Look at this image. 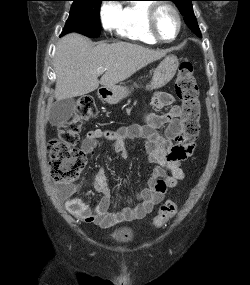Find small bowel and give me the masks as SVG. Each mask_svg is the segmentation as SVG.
<instances>
[{"instance_id":"obj_1","label":"small bowel","mask_w":250,"mask_h":285,"mask_svg":"<svg viewBox=\"0 0 250 285\" xmlns=\"http://www.w3.org/2000/svg\"><path fill=\"white\" fill-rule=\"evenodd\" d=\"M171 103L172 97L168 93L158 92L152 98V104L156 108H164ZM164 126L165 133L161 134L159 129ZM101 138L112 141L115 151L123 158L128 155L127 141L144 140L147 160L154 165V168L147 181V187L139 193L140 203L136 206L124 207L117 212L109 210L111 190L103 168L98 169L94 177L93 188L101 195L94 206L75 196L79 191L78 185L58 183V194L65 202L69 213L83 222L100 227L135 221L148 215L154 206L163 200L167 191L176 187L184 178L181 162L191 155L194 148L193 144L183 137L179 107H174L164 114H148L145 125L133 124L115 130H90L82 142V151L86 154L94 153Z\"/></svg>"}]
</instances>
